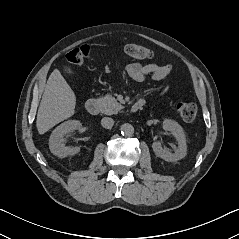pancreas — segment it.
I'll list each match as a JSON object with an SVG mask.
<instances>
[{"label":"pancreas","mask_w":239,"mask_h":239,"mask_svg":"<svg viewBox=\"0 0 239 239\" xmlns=\"http://www.w3.org/2000/svg\"><path fill=\"white\" fill-rule=\"evenodd\" d=\"M99 101L101 104V112L106 115L116 114L122 108V106L111 94L105 95L100 98Z\"/></svg>","instance_id":"cf45deb5"}]
</instances>
